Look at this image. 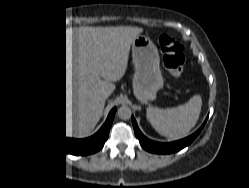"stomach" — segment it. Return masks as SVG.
Listing matches in <instances>:
<instances>
[{
	"mask_svg": "<svg viewBox=\"0 0 249 188\" xmlns=\"http://www.w3.org/2000/svg\"><path fill=\"white\" fill-rule=\"evenodd\" d=\"M132 58L136 69L133 79L136 98L141 102L155 99L164 81L157 47L149 37L138 35L132 41Z\"/></svg>",
	"mask_w": 249,
	"mask_h": 188,
	"instance_id": "1",
	"label": "stomach"
}]
</instances>
